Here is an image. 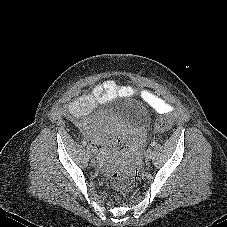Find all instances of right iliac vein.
Listing matches in <instances>:
<instances>
[{
	"label": "right iliac vein",
	"mask_w": 227,
	"mask_h": 227,
	"mask_svg": "<svg viewBox=\"0 0 227 227\" xmlns=\"http://www.w3.org/2000/svg\"><path fill=\"white\" fill-rule=\"evenodd\" d=\"M87 155H88V157L90 158V159H92L93 158V155H92V152L90 151V149L89 148H87Z\"/></svg>",
	"instance_id": "63e3f726"
}]
</instances>
